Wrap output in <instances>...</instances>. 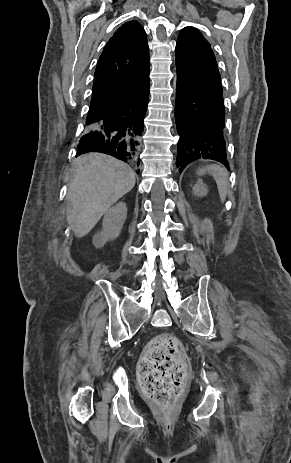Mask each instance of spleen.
I'll use <instances>...</instances> for the list:
<instances>
[{"label": "spleen", "mask_w": 291, "mask_h": 463, "mask_svg": "<svg viewBox=\"0 0 291 463\" xmlns=\"http://www.w3.org/2000/svg\"><path fill=\"white\" fill-rule=\"evenodd\" d=\"M208 172L216 181L218 193L222 202L226 200L228 192V173L227 171L218 165H208L198 170L199 175H203Z\"/></svg>", "instance_id": "3e777b00"}]
</instances>
